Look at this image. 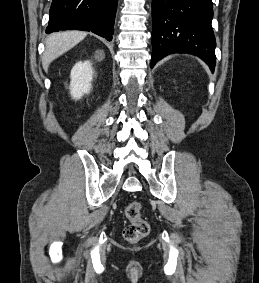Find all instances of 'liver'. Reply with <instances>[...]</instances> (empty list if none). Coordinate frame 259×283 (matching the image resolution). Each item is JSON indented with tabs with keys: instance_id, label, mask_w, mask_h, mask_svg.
I'll return each mask as SVG.
<instances>
[{
	"instance_id": "1",
	"label": "liver",
	"mask_w": 259,
	"mask_h": 283,
	"mask_svg": "<svg viewBox=\"0 0 259 283\" xmlns=\"http://www.w3.org/2000/svg\"><path fill=\"white\" fill-rule=\"evenodd\" d=\"M87 36L82 31H64L50 35L45 42L42 66L47 72L52 61L72 49Z\"/></svg>"
}]
</instances>
